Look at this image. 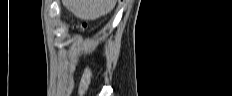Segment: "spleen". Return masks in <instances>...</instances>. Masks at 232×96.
Instances as JSON below:
<instances>
[{"label": "spleen", "mask_w": 232, "mask_h": 96, "mask_svg": "<svg viewBox=\"0 0 232 96\" xmlns=\"http://www.w3.org/2000/svg\"><path fill=\"white\" fill-rule=\"evenodd\" d=\"M65 7L82 20H95L108 12L114 5V0H64Z\"/></svg>", "instance_id": "obj_1"}]
</instances>
